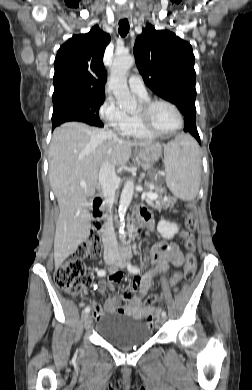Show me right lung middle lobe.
<instances>
[{
    "label": "right lung middle lobe",
    "instance_id": "1",
    "mask_svg": "<svg viewBox=\"0 0 252 390\" xmlns=\"http://www.w3.org/2000/svg\"><path fill=\"white\" fill-rule=\"evenodd\" d=\"M104 100L105 97H68L53 101L52 124L60 121L74 120L103 127L98 112Z\"/></svg>",
    "mask_w": 252,
    "mask_h": 390
}]
</instances>
